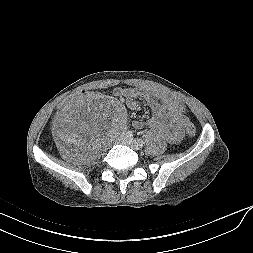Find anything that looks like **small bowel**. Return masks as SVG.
<instances>
[{"instance_id":"obj_1","label":"small bowel","mask_w":253,"mask_h":253,"mask_svg":"<svg viewBox=\"0 0 253 253\" xmlns=\"http://www.w3.org/2000/svg\"><path fill=\"white\" fill-rule=\"evenodd\" d=\"M114 95L124 101L131 110L140 109V105L136 101L138 97H144L150 104L153 116L146 122L135 121L133 123L135 128L141 129L147 126L172 144L178 143L182 139V128L187 121V116L185 106L178 99L136 88H116ZM58 127L61 133L67 131L66 114L60 119Z\"/></svg>"}]
</instances>
